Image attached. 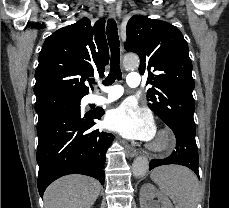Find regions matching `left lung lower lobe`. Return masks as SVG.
Segmentation results:
<instances>
[{
	"label": "left lung lower lobe",
	"instance_id": "1",
	"mask_svg": "<svg viewBox=\"0 0 229 208\" xmlns=\"http://www.w3.org/2000/svg\"><path fill=\"white\" fill-rule=\"evenodd\" d=\"M176 137V151L165 159H153L150 162L149 170L166 164H179L193 170L199 178L198 150L195 141L196 129L192 130L187 126L170 127Z\"/></svg>",
	"mask_w": 229,
	"mask_h": 208
}]
</instances>
